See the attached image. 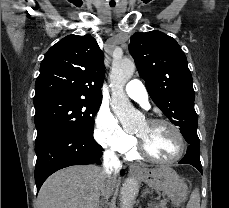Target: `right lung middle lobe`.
<instances>
[{"label": "right lung middle lobe", "mask_w": 229, "mask_h": 208, "mask_svg": "<svg viewBox=\"0 0 229 208\" xmlns=\"http://www.w3.org/2000/svg\"><path fill=\"white\" fill-rule=\"evenodd\" d=\"M35 144L65 129L93 135L94 116L101 102L74 96L54 95L34 101Z\"/></svg>", "instance_id": "right-lung-middle-lobe-1"}]
</instances>
